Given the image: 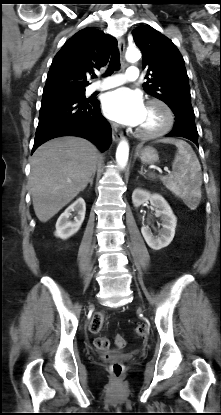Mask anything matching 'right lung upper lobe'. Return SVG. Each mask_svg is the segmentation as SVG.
Returning <instances> with one entry per match:
<instances>
[{
  "instance_id": "1",
  "label": "right lung upper lobe",
  "mask_w": 221,
  "mask_h": 415,
  "mask_svg": "<svg viewBox=\"0 0 221 415\" xmlns=\"http://www.w3.org/2000/svg\"><path fill=\"white\" fill-rule=\"evenodd\" d=\"M117 40L95 28H84L65 42L55 55L43 95L83 89L87 74L105 66Z\"/></svg>"
}]
</instances>
